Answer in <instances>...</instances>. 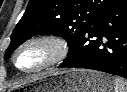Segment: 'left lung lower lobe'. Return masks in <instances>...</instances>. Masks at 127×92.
Here are the masks:
<instances>
[{
    "mask_svg": "<svg viewBox=\"0 0 127 92\" xmlns=\"http://www.w3.org/2000/svg\"><path fill=\"white\" fill-rule=\"evenodd\" d=\"M59 68H86L127 78V0L102 15Z\"/></svg>",
    "mask_w": 127,
    "mask_h": 92,
    "instance_id": "0a47b994",
    "label": "left lung lower lobe"
}]
</instances>
